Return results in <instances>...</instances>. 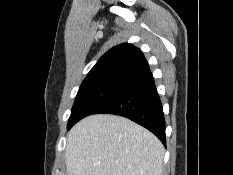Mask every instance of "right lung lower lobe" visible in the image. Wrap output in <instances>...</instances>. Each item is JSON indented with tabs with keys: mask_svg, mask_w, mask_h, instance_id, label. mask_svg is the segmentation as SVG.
<instances>
[{
	"mask_svg": "<svg viewBox=\"0 0 233 175\" xmlns=\"http://www.w3.org/2000/svg\"><path fill=\"white\" fill-rule=\"evenodd\" d=\"M110 113L131 119L154 133L166 144L165 119L152 73L135 78L93 114Z\"/></svg>",
	"mask_w": 233,
	"mask_h": 175,
	"instance_id": "obj_1",
	"label": "right lung lower lobe"
}]
</instances>
